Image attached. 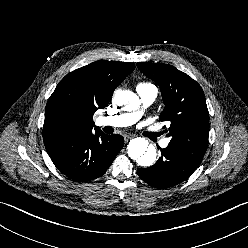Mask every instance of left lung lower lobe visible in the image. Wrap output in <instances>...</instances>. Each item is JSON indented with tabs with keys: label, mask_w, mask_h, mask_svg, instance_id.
<instances>
[{
	"label": "left lung lower lobe",
	"mask_w": 248,
	"mask_h": 248,
	"mask_svg": "<svg viewBox=\"0 0 248 248\" xmlns=\"http://www.w3.org/2000/svg\"><path fill=\"white\" fill-rule=\"evenodd\" d=\"M198 166L174 148L166 147L161 149V157L153 166L138 169L137 173L150 186L164 189L185 181Z\"/></svg>",
	"instance_id": "0a47b994"
}]
</instances>
